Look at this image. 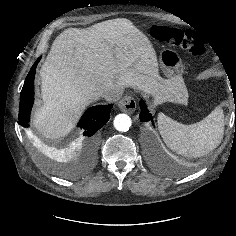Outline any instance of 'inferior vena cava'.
Instances as JSON below:
<instances>
[{"instance_id": "1", "label": "inferior vena cava", "mask_w": 236, "mask_h": 236, "mask_svg": "<svg viewBox=\"0 0 236 236\" xmlns=\"http://www.w3.org/2000/svg\"><path fill=\"white\" fill-rule=\"evenodd\" d=\"M121 95H122L121 90H119V89H110V90L105 91L102 94V97L108 102H116V101L120 100Z\"/></svg>"}]
</instances>
